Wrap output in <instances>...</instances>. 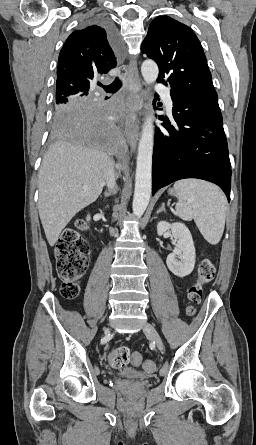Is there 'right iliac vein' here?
Returning a JSON list of instances; mask_svg holds the SVG:
<instances>
[{
    "label": "right iliac vein",
    "instance_id": "63e3f726",
    "mask_svg": "<svg viewBox=\"0 0 256 445\" xmlns=\"http://www.w3.org/2000/svg\"><path fill=\"white\" fill-rule=\"evenodd\" d=\"M109 331H110V328H109V327H106V328L104 329V334L109 333Z\"/></svg>",
    "mask_w": 256,
    "mask_h": 445
}]
</instances>
